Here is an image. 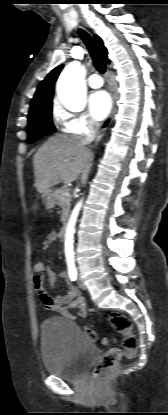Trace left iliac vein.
Returning a JSON list of instances; mask_svg holds the SVG:
<instances>
[{
  "label": "left iliac vein",
  "mask_w": 168,
  "mask_h": 415,
  "mask_svg": "<svg viewBox=\"0 0 168 415\" xmlns=\"http://www.w3.org/2000/svg\"><path fill=\"white\" fill-rule=\"evenodd\" d=\"M77 284L81 289H83V290L86 289V286H85L83 280L81 279L80 274H78V277H77Z\"/></svg>",
  "instance_id": "1"
}]
</instances>
